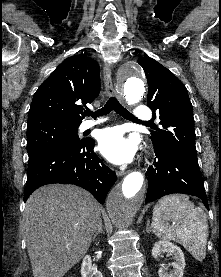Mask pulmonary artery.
Here are the masks:
<instances>
[{
	"label": "pulmonary artery",
	"mask_w": 221,
	"mask_h": 277,
	"mask_svg": "<svg viewBox=\"0 0 221 277\" xmlns=\"http://www.w3.org/2000/svg\"><path fill=\"white\" fill-rule=\"evenodd\" d=\"M135 117L143 122H146L151 119L152 113L151 110L146 106H138L135 110ZM105 119H98V120H88L82 124V129H89L94 126H97L103 123Z\"/></svg>",
	"instance_id": "e3ab8cb5"
}]
</instances>
